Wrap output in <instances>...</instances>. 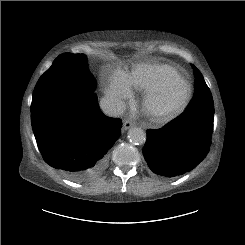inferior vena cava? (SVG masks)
<instances>
[{
  "mask_svg": "<svg viewBox=\"0 0 245 245\" xmlns=\"http://www.w3.org/2000/svg\"><path fill=\"white\" fill-rule=\"evenodd\" d=\"M100 107L106 115L111 117L120 116L126 109L125 103L121 99L113 96L103 97L100 101Z\"/></svg>",
  "mask_w": 245,
  "mask_h": 245,
  "instance_id": "1",
  "label": "inferior vena cava"
}]
</instances>
